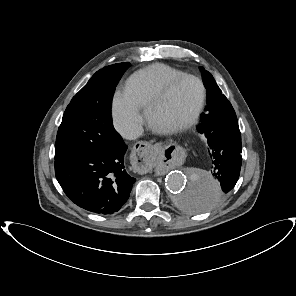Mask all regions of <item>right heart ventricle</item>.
I'll return each instance as SVG.
<instances>
[{
    "mask_svg": "<svg viewBox=\"0 0 296 296\" xmlns=\"http://www.w3.org/2000/svg\"><path fill=\"white\" fill-rule=\"evenodd\" d=\"M182 74L184 72L169 65L153 64L128 80L126 92L140 108H147L169 81Z\"/></svg>",
    "mask_w": 296,
    "mask_h": 296,
    "instance_id": "1",
    "label": "right heart ventricle"
}]
</instances>
